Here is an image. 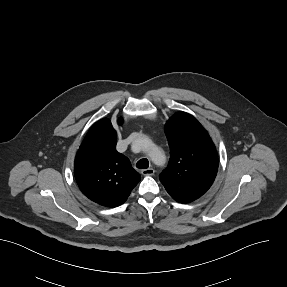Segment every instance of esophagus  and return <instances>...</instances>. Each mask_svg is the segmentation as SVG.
<instances>
[{
	"instance_id": "1",
	"label": "esophagus",
	"mask_w": 287,
	"mask_h": 287,
	"mask_svg": "<svg viewBox=\"0 0 287 287\" xmlns=\"http://www.w3.org/2000/svg\"><path fill=\"white\" fill-rule=\"evenodd\" d=\"M141 173L144 175V176H151L155 173V170L153 168H149V169H143L141 171Z\"/></svg>"
}]
</instances>
